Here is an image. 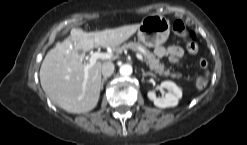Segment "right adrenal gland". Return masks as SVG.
I'll return each mask as SVG.
<instances>
[{"mask_svg":"<svg viewBox=\"0 0 247 145\" xmlns=\"http://www.w3.org/2000/svg\"><path fill=\"white\" fill-rule=\"evenodd\" d=\"M107 80V78L106 77H104L103 79H102V81H101V89H103V85H104V82Z\"/></svg>","mask_w":247,"mask_h":145,"instance_id":"1","label":"right adrenal gland"}]
</instances>
